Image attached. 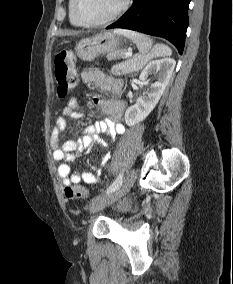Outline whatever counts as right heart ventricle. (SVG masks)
Instances as JSON below:
<instances>
[{
  "instance_id": "right-heart-ventricle-1",
  "label": "right heart ventricle",
  "mask_w": 233,
  "mask_h": 284,
  "mask_svg": "<svg viewBox=\"0 0 233 284\" xmlns=\"http://www.w3.org/2000/svg\"><path fill=\"white\" fill-rule=\"evenodd\" d=\"M73 3H74V0H69L68 1V15H69V20H70V23L73 25V26H76V27H80V26H83L75 17L74 13H73Z\"/></svg>"
}]
</instances>
